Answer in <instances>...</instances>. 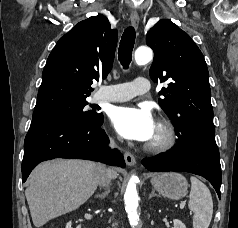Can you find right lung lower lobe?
Wrapping results in <instances>:
<instances>
[{
	"mask_svg": "<svg viewBox=\"0 0 238 228\" xmlns=\"http://www.w3.org/2000/svg\"><path fill=\"white\" fill-rule=\"evenodd\" d=\"M102 124L103 118L93 124L67 119H32L24 142L22 182L40 162L57 157L124 167L123 155L108 148L109 139Z\"/></svg>",
	"mask_w": 238,
	"mask_h": 228,
	"instance_id": "obj_1",
	"label": "right lung lower lobe"
}]
</instances>
